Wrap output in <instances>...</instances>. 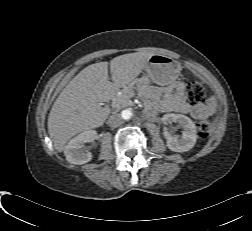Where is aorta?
I'll return each mask as SVG.
<instances>
[{
    "label": "aorta",
    "instance_id": "762f6f07",
    "mask_svg": "<svg viewBox=\"0 0 252 231\" xmlns=\"http://www.w3.org/2000/svg\"><path fill=\"white\" fill-rule=\"evenodd\" d=\"M121 117L124 120H130L133 117V111L130 108L125 109L121 112Z\"/></svg>",
    "mask_w": 252,
    "mask_h": 231
}]
</instances>
